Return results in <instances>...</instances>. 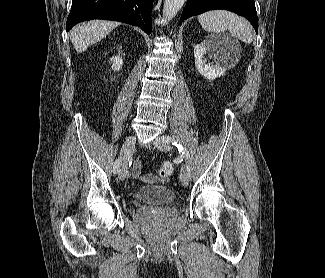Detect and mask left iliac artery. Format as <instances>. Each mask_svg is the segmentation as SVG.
<instances>
[{"label": "left iliac artery", "instance_id": "44dca946", "mask_svg": "<svg viewBox=\"0 0 325 278\" xmlns=\"http://www.w3.org/2000/svg\"><path fill=\"white\" fill-rule=\"evenodd\" d=\"M162 140L166 143H172V145L176 146L179 153H181L185 158L186 160L188 159L189 157V152L187 151L186 148H184L180 143H178L177 141H175L171 136H163L162 137ZM187 170H188V173H189V177L191 178V174H190V166L188 165L187 166Z\"/></svg>", "mask_w": 325, "mask_h": 278}]
</instances>
